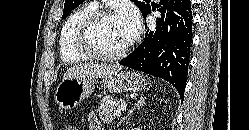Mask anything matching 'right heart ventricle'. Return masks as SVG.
I'll use <instances>...</instances> for the list:
<instances>
[{
  "instance_id": "obj_1",
  "label": "right heart ventricle",
  "mask_w": 249,
  "mask_h": 130,
  "mask_svg": "<svg viewBox=\"0 0 249 130\" xmlns=\"http://www.w3.org/2000/svg\"><path fill=\"white\" fill-rule=\"evenodd\" d=\"M96 9L95 3H85L75 9L64 22L59 36V52L63 62L74 63L87 58L76 46V34L81 22Z\"/></svg>"
}]
</instances>
